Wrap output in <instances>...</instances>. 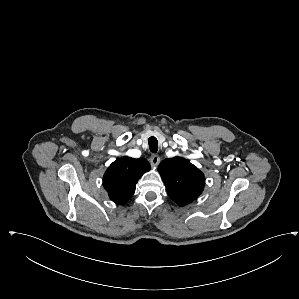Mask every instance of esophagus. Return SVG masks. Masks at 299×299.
I'll return each instance as SVG.
<instances>
[{
  "label": "esophagus",
  "instance_id": "esophagus-1",
  "mask_svg": "<svg viewBox=\"0 0 299 299\" xmlns=\"http://www.w3.org/2000/svg\"><path fill=\"white\" fill-rule=\"evenodd\" d=\"M150 162L153 166H157L160 162V157L158 155H152L150 158Z\"/></svg>",
  "mask_w": 299,
  "mask_h": 299
}]
</instances>
